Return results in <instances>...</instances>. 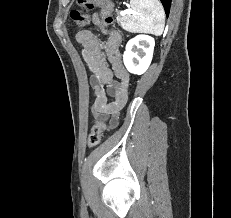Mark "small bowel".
I'll use <instances>...</instances> for the list:
<instances>
[{"label": "small bowel", "instance_id": "obj_1", "mask_svg": "<svg viewBox=\"0 0 231 218\" xmlns=\"http://www.w3.org/2000/svg\"><path fill=\"white\" fill-rule=\"evenodd\" d=\"M93 22L99 25L96 14L93 15ZM76 40L82 46V56L91 73L90 85L94 96L92 113L95 117L110 115V125L114 128L120 111L128 101L130 85L119 52L121 37L114 33L103 42L93 32L82 30L76 34Z\"/></svg>", "mask_w": 231, "mask_h": 218}]
</instances>
